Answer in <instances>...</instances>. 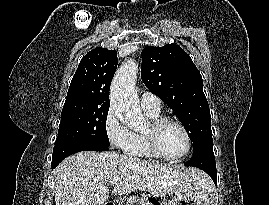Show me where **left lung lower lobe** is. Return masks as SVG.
Listing matches in <instances>:
<instances>
[{
  "mask_svg": "<svg viewBox=\"0 0 269 205\" xmlns=\"http://www.w3.org/2000/svg\"><path fill=\"white\" fill-rule=\"evenodd\" d=\"M186 166L197 167L205 171L216 184V163L213 153L212 141L205 143L194 151L193 156L185 163Z\"/></svg>",
  "mask_w": 269,
  "mask_h": 205,
  "instance_id": "1",
  "label": "left lung lower lobe"
}]
</instances>
